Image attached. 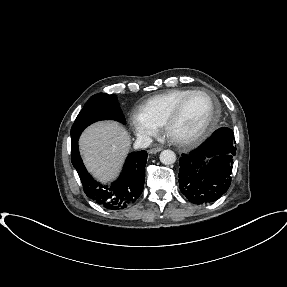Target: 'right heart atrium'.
<instances>
[{"mask_svg": "<svg viewBox=\"0 0 287 287\" xmlns=\"http://www.w3.org/2000/svg\"><path fill=\"white\" fill-rule=\"evenodd\" d=\"M130 122L136 135L143 140L150 139L159 131V126L146 118L140 111L131 113Z\"/></svg>", "mask_w": 287, "mask_h": 287, "instance_id": "right-heart-atrium-1", "label": "right heart atrium"}]
</instances>
